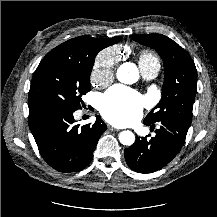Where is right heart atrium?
Listing matches in <instances>:
<instances>
[{"mask_svg":"<svg viewBox=\"0 0 217 217\" xmlns=\"http://www.w3.org/2000/svg\"><path fill=\"white\" fill-rule=\"evenodd\" d=\"M118 60L116 51L112 48L101 51L94 62L91 73L92 81L100 86L109 85L114 77V70Z\"/></svg>","mask_w":217,"mask_h":217,"instance_id":"obj_1","label":"right heart atrium"}]
</instances>
